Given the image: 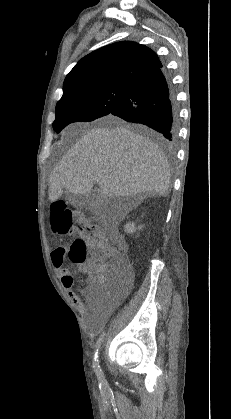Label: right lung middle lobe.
<instances>
[{"label": "right lung middle lobe", "mask_w": 231, "mask_h": 419, "mask_svg": "<svg viewBox=\"0 0 231 419\" xmlns=\"http://www.w3.org/2000/svg\"><path fill=\"white\" fill-rule=\"evenodd\" d=\"M131 86L82 88L58 101L53 129L59 133L72 122H89L108 115L131 91Z\"/></svg>", "instance_id": "1"}]
</instances>
